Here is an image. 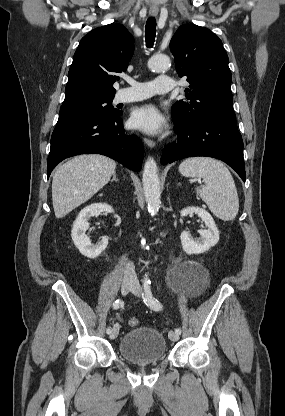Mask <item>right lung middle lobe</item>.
Listing matches in <instances>:
<instances>
[{"label": "right lung middle lobe", "mask_w": 285, "mask_h": 416, "mask_svg": "<svg viewBox=\"0 0 285 416\" xmlns=\"http://www.w3.org/2000/svg\"><path fill=\"white\" fill-rule=\"evenodd\" d=\"M113 98L64 100L59 119L85 116L114 117L122 114L111 104Z\"/></svg>", "instance_id": "obj_1"}]
</instances>
